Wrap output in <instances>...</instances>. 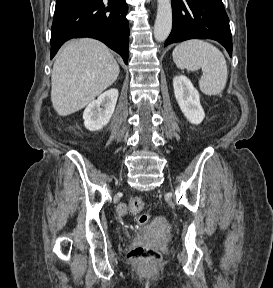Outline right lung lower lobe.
Segmentation results:
<instances>
[{
	"label": "right lung lower lobe",
	"instance_id": "98d812e1",
	"mask_svg": "<svg viewBox=\"0 0 273 288\" xmlns=\"http://www.w3.org/2000/svg\"><path fill=\"white\" fill-rule=\"evenodd\" d=\"M125 0H56L51 29L52 59L61 45L76 37L105 43L128 62L129 23Z\"/></svg>",
	"mask_w": 273,
	"mask_h": 288
}]
</instances>
